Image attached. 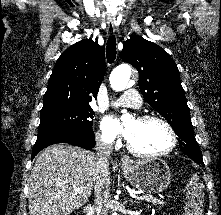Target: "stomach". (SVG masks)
Masks as SVG:
<instances>
[{"mask_svg":"<svg viewBox=\"0 0 221 215\" xmlns=\"http://www.w3.org/2000/svg\"><path fill=\"white\" fill-rule=\"evenodd\" d=\"M122 171L129 184L148 194L162 192L170 183L169 166L161 159L129 160L122 164Z\"/></svg>","mask_w":221,"mask_h":215,"instance_id":"1","label":"stomach"}]
</instances>
